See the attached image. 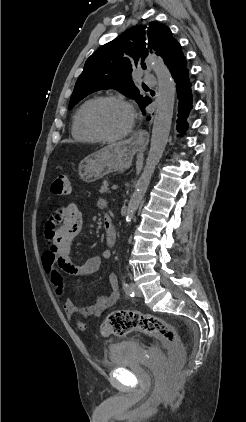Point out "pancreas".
<instances>
[{
  "mask_svg": "<svg viewBox=\"0 0 246 422\" xmlns=\"http://www.w3.org/2000/svg\"><path fill=\"white\" fill-rule=\"evenodd\" d=\"M108 191V181L104 180L100 188V193H105Z\"/></svg>",
  "mask_w": 246,
  "mask_h": 422,
  "instance_id": "1",
  "label": "pancreas"
}]
</instances>
